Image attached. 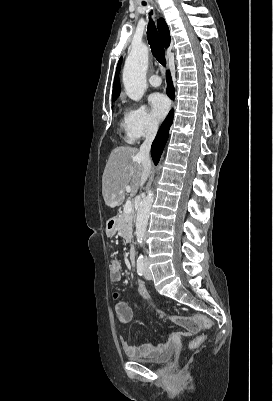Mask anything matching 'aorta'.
I'll use <instances>...</instances> for the list:
<instances>
[{"label": "aorta", "mask_w": 273, "mask_h": 401, "mask_svg": "<svg viewBox=\"0 0 273 401\" xmlns=\"http://www.w3.org/2000/svg\"><path fill=\"white\" fill-rule=\"evenodd\" d=\"M149 52L146 45H136L128 55L123 69V84L129 98L139 101L147 87L146 72L148 68ZM154 194L151 190L140 202L136 217V238L139 245L143 244L150 209Z\"/></svg>", "instance_id": "obj_1"}]
</instances>
